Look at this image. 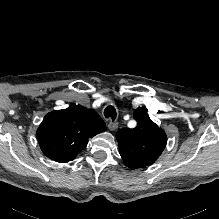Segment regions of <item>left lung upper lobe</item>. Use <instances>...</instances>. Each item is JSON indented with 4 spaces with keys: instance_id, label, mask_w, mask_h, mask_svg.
Listing matches in <instances>:
<instances>
[{
    "instance_id": "5c2ea615",
    "label": "left lung upper lobe",
    "mask_w": 219,
    "mask_h": 219,
    "mask_svg": "<svg viewBox=\"0 0 219 219\" xmlns=\"http://www.w3.org/2000/svg\"><path fill=\"white\" fill-rule=\"evenodd\" d=\"M137 126L121 129L116 137L120 155L130 169H138L153 164L165 149L167 136L150 119L147 109L142 107L133 114Z\"/></svg>"
}]
</instances>
